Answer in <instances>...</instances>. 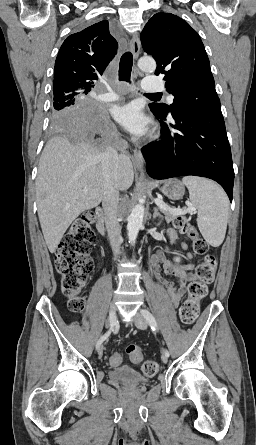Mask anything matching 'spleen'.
Wrapping results in <instances>:
<instances>
[{
	"mask_svg": "<svg viewBox=\"0 0 256 445\" xmlns=\"http://www.w3.org/2000/svg\"><path fill=\"white\" fill-rule=\"evenodd\" d=\"M182 182L189 190L192 205L197 209V224L202 236L211 246H220L228 222L227 195L219 185L205 178L186 176Z\"/></svg>",
	"mask_w": 256,
	"mask_h": 445,
	"instance_id": "obj_1",
	"label": "spleen"
}]
</instances>
